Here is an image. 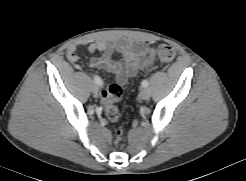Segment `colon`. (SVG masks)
I'll list each match as a JSON object with an SVG mask.
<instances>
[{"instance_id": "1", "label": "colon", "mask_w": 246, "mask_h": 181, "mask_svg": "<svg viewBox=\"0 0 246 181\" xmlns=\"http://www.w3.org/2000/svg\"><path fill=\"white\" fill-rule=\"evenodd\" d=\"M154 55L162 62H171L176 55L175 49L169 44H161L153 49ZM122 97V89L119 84H112L102 92L104 111L110 121H117L119 118L118 103ZM123 131L117 128L114 132L115 144L121 142Z\"/></svg>"}]
</instances>
